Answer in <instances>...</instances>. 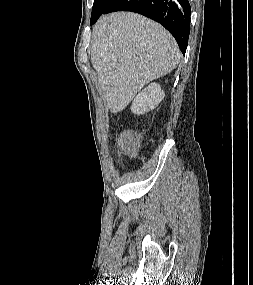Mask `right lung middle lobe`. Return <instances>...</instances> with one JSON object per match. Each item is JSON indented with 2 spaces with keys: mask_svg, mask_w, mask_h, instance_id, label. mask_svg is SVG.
<instances>
[{
  "mask_svg": "<svg viewBox=\"0 0 253 285\" xmlns=\"http://www.w3.org/2000/svg\"><path fill=\"white\" fill-rule=\"evenodd\" d=\"M113 0H94L91 21L101 16Z\"/></svg>",
  "mask_w": 253,
  "mask_h": 285,
  "instance_id": "dd1d6c3e",
  "label": "right lung middle lobe"
}]
</instances>
